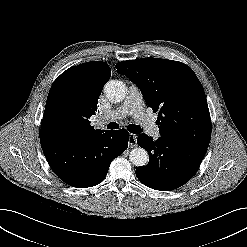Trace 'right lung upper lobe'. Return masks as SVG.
<instances>
[{
	"label": "right lung upper lobe",
	"mask_w": 247,
	"mask_h": 247,
	"mask_svg": "<svg viewBox=\"0 0 247 247\" xmlns=\"http://www.w3.org/2000/svg\"><path fill=\"white\" fill-rule=\"evenodd\" d=\"M110 76V67L102 61L86 62L63 72L49 91L40 132L73 141L103 133L90 125L89 118L97 111L99 95Z\"/></svg>",
	"instance_id": "cb5924a9"
}]
</instances>
